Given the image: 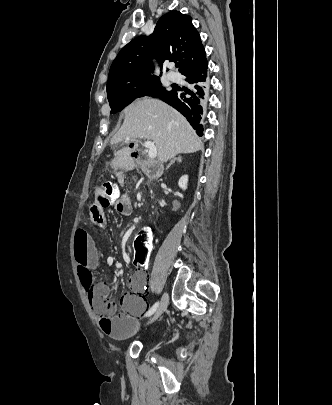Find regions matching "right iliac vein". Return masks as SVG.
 Instances as JSON below:
<instances>
[{
  "instance_id": "obj_1",
  "label": "right iliac vein",
  "mask_w": 332,
  "mask_h": 405,
  "mask_svg": "<svg viewBox=\"0 0 332 405\" xmlns=\"http://www.w3.org/2000/svg\"><path fill=\"white\" fill-rule=\"evenodd\" d=\"M169 302V296L167 293H164L161 297L160 304L154 314V316L147 321V325L152 324L155 320H157L161 314L166 310Z\"/></svg>"
}]
</instances>
